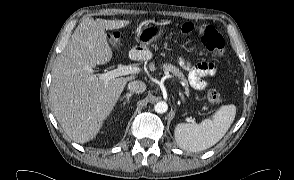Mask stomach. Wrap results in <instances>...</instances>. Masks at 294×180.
<instances>
[{"label": "stomach", "mask_w": 294, "mask_h": 180, "mask_svg": "<svg viewBox=\"0 0 294 180\" xmlns=\"http://www.w3.org/2000/svg\"><path fill=\"white\" fill-rule=\"evenodd\" d=\"M165 33V27L159 23L140 25L136 31L135 40L138 43V46L134 47V50L139 47L142 50L137 51L138 54H142L147 46L153 41L158 40Z\"/></svg>", "instance_id": "stomach-1"}]
</instances>
